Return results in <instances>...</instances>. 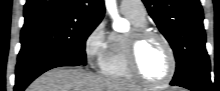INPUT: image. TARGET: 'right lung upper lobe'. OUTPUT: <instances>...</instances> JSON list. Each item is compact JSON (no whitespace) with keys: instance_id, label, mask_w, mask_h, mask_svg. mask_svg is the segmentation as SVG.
<instances>
[{"instance_id":"right-lung-upper-lobe-1","label":"right lung upper lobe","mask_w":220,"mask_h":91,"mask_svg":"<svg viewBox=\"0 0 220 91\" xmlns=\"http://www.w3.org/2000/svg\"><path fill=\"white\" fill-rule=\"evenodd\" d=\"M104 13L103 0H27L24 6L25 24L62 16L101 21Z\"/></svg>"}]
</instances>
